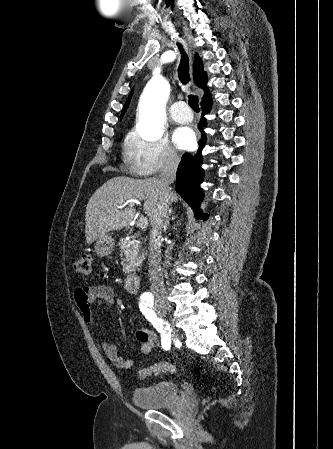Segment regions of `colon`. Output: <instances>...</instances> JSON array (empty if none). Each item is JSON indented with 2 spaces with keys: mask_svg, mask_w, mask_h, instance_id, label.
I'll return each mask as SVG.
<instances>
[{
  "mask_svg": "<svg viewBox=\"0 0 333 449\" xmlns=\"http://www.w3.org/2000/svg\"><path fill=\"white\" fill-rule=\"evenodd\" d=\"M91 258L88 254L79 257L74 263V270L79 274H88L90 271ZM176 367L170 362H159L152 366L143 367L138 371V376L141 379L147 378L152 374L174 373Z\"/></svg>",
  "mask_w": 333,
  "mask_h": 449,
  "instance_id": "1",
  "label": "colon"
}]
</instances>
